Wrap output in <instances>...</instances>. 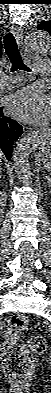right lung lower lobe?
<instances>
[{"mask_svg": "<svg viewBox=\"0 0 51 393\" xmlns=\"http://www.w3.org/2000/svg\"><path fill=\"white\" fill-rule=\"evenodd\" d=\"M0 107V153L11 160L13 145L23 132L22 126L15 120L6 117Z\"/></svg>", "mask_w": 51, "mask_h": 393, "instance_id": "98d812e1", "label": "right lung lower lobe"}]
</instances>
